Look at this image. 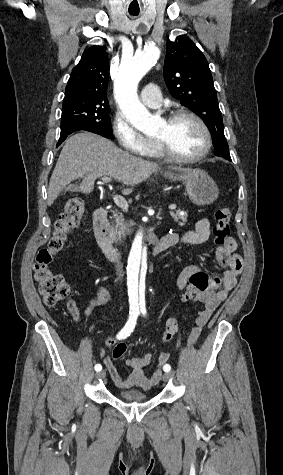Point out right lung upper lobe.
<instances>
[{
  "label": "right lung upper lobe",
  "mask_w": 283,
  "mask_h": 475,
  "mask_svg": "<svg viewBox=\"0 0 283 475\" xmlns=\"http://www.w3.org/2000/svg\"><path fill=\"white\" fill-rule=\"evenodd\" d=\"M108 69L106 47L85 50L81 61L72 69L65 97L107 98Z\"/></svg>",
  "instance_id": "right-lung-upper-lobe-1"
}]
</instances>
